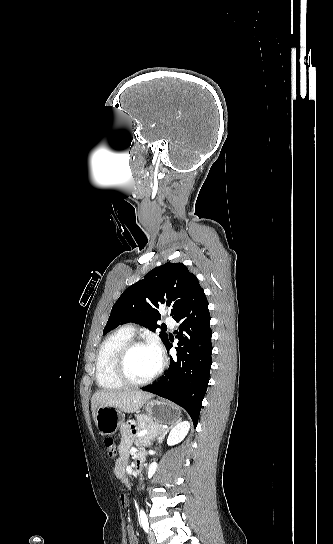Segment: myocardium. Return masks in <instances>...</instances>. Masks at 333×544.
Returning a JSON list of instances; mask_svg holds the SVG:
<instances>
[{
  "label": "myocardium",
  "mask_w": 333,
  "mask_h": 544,
  "mask_svg": "<svg viewBox=\"0 0 333 544\" xmlns=\"http://www.w3.org/2000/svg\"><path fill=\"white\" fill-rule=\"evenodd\" d=\"M138 346H152V347H155L157 345L154 342H152L151 340H148V339L131 338L129 341H127L120 348V350L118 351V353L116 355V358H115L114 370H115V374H116L117 378L124 385L131 386V387H142V386H146V385L152 383L162 373V371L164 369V365H165V361H164L163 355H162L161 350H160V363H159V366L156 369V371L151 376H149L148 378H146L144 380L137 381V380L132 379L128 374L127 360H128V357H129L131 351L135 347H138Z\"/></svg>",
  "instance_id": "f54148a6"
}]
</instances>
